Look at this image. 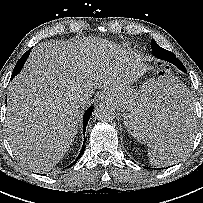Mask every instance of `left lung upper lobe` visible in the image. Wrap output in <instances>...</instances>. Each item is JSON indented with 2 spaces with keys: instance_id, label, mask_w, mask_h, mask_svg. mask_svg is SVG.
<instances>
[{
  "instance_id": "obj_1",
  "label": "left lung upper lobe",
  "mask_w": 203,
  "mask_h": 203,
  "mask_svg": "<svg viewBox=\"0 0 203 203\" xmlns=\"http://www.w3.org/2000/svg\"><path fill=\"white\" fill-rule=\"evenodd\" d=\"M151 47H152V50L154 51L155 49H157L159 46L157 45V43L154 41V40H151ZM183 65V64H182ZM184 67V65H183Z\"/></svg>"
}]
</instances>
